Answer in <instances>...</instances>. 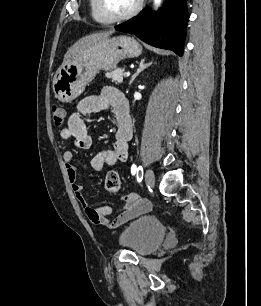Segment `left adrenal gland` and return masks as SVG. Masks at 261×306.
Returning a JSON list of instances; mask_svg holds the SVG:
<instances>
[{"label":"left adrenal gland","instance_id":"obj_1","mask_svg":"<svg viewBox=\"0 0 261 306\" xmlns=\"http://www.w3.org/2000/svg\"><path fill=\"white\" fill-rule=\"evenodd\" d=\"M145 59H142L140 61V64H139V68L137 69L136 73L132 76L131 80H130V83L129 85H131L133 83V81L135 80V78L142 72L144 71L146 68H148L152 62L148 63V64H145Z\"/></svg>","mask_w":261,"mask_h":306}]
</instances>
